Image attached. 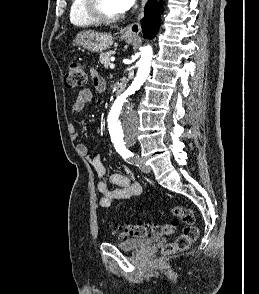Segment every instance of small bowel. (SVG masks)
Segmentation results:
<instances>
[{
  "label": "small bowel",
  "mask_w": 259,
  "mask_h": 294,
  "mask_svg": "<svg viewBox=\"0 0 259 294\" xmlns=\"http://www.w3.org/2000/svg\"><path fill=\"white\" fill-rule=\"evenodd\" d=\"M92 81L95 89L98 92H104L106 89V83L102 77H100L95 70H92ZM93 98V92L88 89L80 90L74 103L72 105V113L74 115L79 114L84 107L91 102ZM70 134L72 138H76L77 133L74 126H70ZM77 150L83 156L87 157L90 161L92 168L99 177L98 191L101 195L99 204L101 207L108 208L115 201L126 200L134 196L140 195L142 192V186L133 182V174L128 168H124L123 173H111L107 172L105 165L103 164L100 154L92 156L88 146L84 143L77 145ZM108 184H112L115 188L110 189Z\"/></svg>",
  "instance_id": "small-bowel-1"
}]
</instances>
